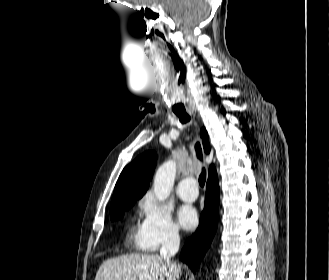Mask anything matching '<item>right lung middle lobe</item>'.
I'll use <instances>...</instances> for the list:
<instances>
[{
  "instance_id": "1",
  "label": "right lung middle lobe",
  "mask_w": 329,
  "mask_h": 280,
  "mask_svg": "<svg viewBox=\"0 0 329 280\" xmlns=\"http://www.w3.org/2000/svg\"><path fill=\"white\" fill-rule=\"evenodd\" d=\"M136 199L124 200L110 209L111 220H117L123 217L126 209L131 207Z\"/></svg>"
}]
</instances>
